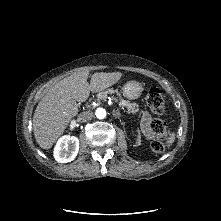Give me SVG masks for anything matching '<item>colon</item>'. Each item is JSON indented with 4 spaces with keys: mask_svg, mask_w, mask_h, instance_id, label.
<instances>
[{
    "mask_svg": "<svg viewBox=\"0 0 221 221\" xmlns=\"http://www.w3.org/2000/svg\"><path fill=\"white\" fill-rule=\"evenodd\" d=\"M146 105L150 112L155 116L164 113L165 100L159 89L152 88L148 91L146 95ZM149 127L155 134V139L152 142V150L155 153H161L164 149L165 138L167 135L166 124L162 119L155 117L151 120Z\"/></svg>",
    "mask_w": 221,
    "mask_h": 221,
    "instance_id": "colon-1",
    "label": "colon"
}]
</instances>
